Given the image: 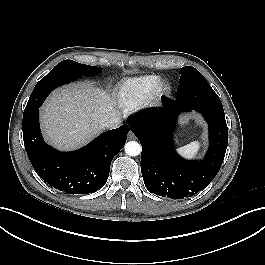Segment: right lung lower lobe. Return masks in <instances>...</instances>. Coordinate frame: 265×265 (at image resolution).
Listing matches in <instances>:
<instances>
[{
	"label": "right lung lower lobe",
	"mask_w": 265,
	"mask_h": 265,
	"mask_svg": "<svg viewBox=\"0 0 265 265\" xmlns=\"http://www.w3.org/2000/svg\"><path fill=\"white\" fill-rule=\"evenodd\" d=\"M41 104L23 115L22 123L25 149L38 175L52 187L68 194L99 190L108 179L113 157L126 143L129 126L106 131L79 150L59 152L42 138L39 127Z\"/></svg>",
	"instance_id": "obj_1"
}]
</instances>
